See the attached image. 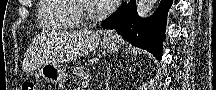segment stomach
Masks as SVG:
<instances>
[{
    "instance_id": "1",
    "label": "stomach",
    "mask_w": 216,
    "mask_h": 90,
    "mask_svg": "<svg viewBox=\"0 0 216 90\" xmlns=\"http://www.w3.org/2000/svg\"><path fill=\"white\" fill-rule=\"evenodd\" d=\"M102 47L109 53H115L120 50L121 42L117 38L106 37L102 40ZM39 75L48 82L62 85L66 81L68 72L59 64L48 63L41 67Z\"/></svg>"
}]
</instances>
